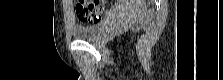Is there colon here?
Returning <instances> with one entry per match:
<instances>
[{
	"label": "colon",
	"mask_w": 223,
	"mask_h": 80,
	"mask_svg": "<svg viewBox=\"0 0 223 80\" xmlns=\"http://www.w3.org/2000/svg\"><path fill=\"white\" fill-rule=\"evenodd\" d=\"M76 13L80 20L89 22H98L101 20L105 11L104 1H78L76 4Z\"/></svg>",
	"instance_id": "colon-1"
}]
</instances>
